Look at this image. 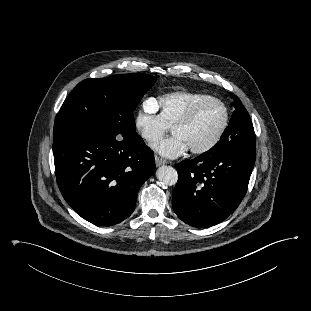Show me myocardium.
Here are the masks:
<instances>
[{"label":"myocardium","mask_w":311,"mask_h":311,"mask_svg":"<svg viewBox=\"0 0 311 311\" xmlns=\"http://www.w3.org/2000/svg\"><path fill=\"white\" fill-rule=\"evenodd\" d=\"M208 102H217L219 103L224 110V117H223V121L222 124L218 130V132L216 133V135L213 137V139L207 143L206 145L199 147V148H192L190 149V151L193 154H203L206 153L208 151H210L211 149H213L221 140V138L223 137L228 124H229V109L227 107V105L225 104L224 101H222L221 99L217 98V97H212V96H208L198 102H196L195 104H193L182 116L181 118H179L172 126H171V130L173 131L175 128L178 127H182L187 125L195 116V114L197 113V111L206 103Z\"/></svg>","instance_id":"f54148a6"}]
</instances>
